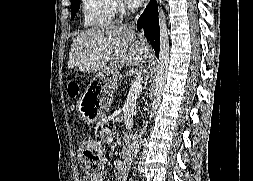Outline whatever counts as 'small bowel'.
I'll use <instances>...</instances> for the list:
<instances>
[{
    "label": "small bowel",
    "mask_w": 253,
    "mask_h": 181,
    "mask_svg": "<svg viewBox=\"0 0 253 181\" xmlns=\"http://www.w3.org/2000/svg\"><path fill=\"white\" fill-rule=\"evenodd\" d=\"M115 132L114 130L107 126L104 127L101 131V137L104 140V142L110 144L114 140ZM127 139L129 140V136H127ZM130 159H131V152L129 151L128 147L125 149V153L123 157L119 160L114 161L113 167L115 171V178L117 181H127L130 173ZM104 178V175L96 174L91 177H84L82 181H102Z\"/></svg>",
    "instance_id": "1"
}]
</instances>
